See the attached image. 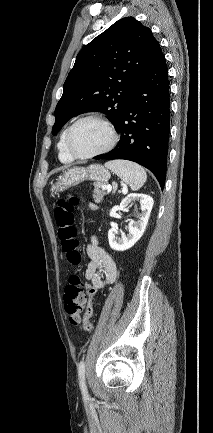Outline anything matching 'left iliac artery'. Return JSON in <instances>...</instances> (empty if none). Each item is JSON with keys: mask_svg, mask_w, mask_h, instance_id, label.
<instances>
[{"mask_svg": "<svg viewBox=\"0 0 213 433\" xmlns=\"http://www.w3.org/2000/svg\"><path fill=\"white\" fill-rule=\"evenodd\" d=\"M78 377H79V385L82 391L84 398L88 397L87 387L85 383V362L81 360L78 365Z\"/></svg>", "mask_w": 213, "mask_h": 433, "instance_id": "obj_1", "label": "left iliac artery"}]
</instances>
